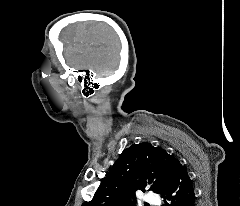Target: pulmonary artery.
Masks as SVG:
<instances>
[{"instance_id":"obj_1","label":"pulmonary artery","mask_w":240,"mask_h":206,"mask_svg":"<svg viewBox=\"0 0 240 206\" xmlns=\"http://www.w3.org/2000/svg\"><path fill=\"white\" fill-rule=\"evenodd\" d=\"M144 201L149 204H157L159 202L158 196L153 193H148L144 196Z\"/></svg>"}]
</instances>
